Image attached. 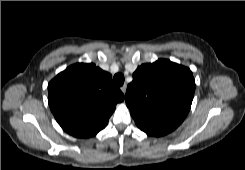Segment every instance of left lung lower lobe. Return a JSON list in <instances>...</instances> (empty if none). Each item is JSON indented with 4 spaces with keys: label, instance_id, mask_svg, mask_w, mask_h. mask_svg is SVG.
<instances>
[{
    "label": "left lung lower lobe",
    "instance_id": "1",
    "mask_svg": "<svg viewBox=\"0 0 245 170\" xmlns=\"http://www.w3.org/2000/svg\"><path fill=\"white\" fill-rule=\"evenodd\" d=\"M141 130H143L145 133H147V134L150 135V136H156V137H159V136L165 135L164 133L156 132V131L149 130V129H141Z\"/></svg>",
    "mask_w": 245,
    "mask_h": 170
}]
</instances>
